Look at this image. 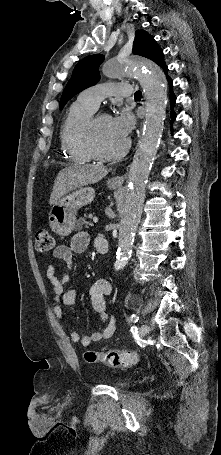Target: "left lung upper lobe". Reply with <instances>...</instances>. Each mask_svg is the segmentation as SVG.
Masks as SVG:
<instances>
[{"instance_id":"left-lung-upper-lobe-1","label":"left lung upper lobe","mask_w":221,"mask_h":455,"mask_svg":"<svg viewBox=\"0 0 221 455\" xmlns=\"http://www.w3.org/2000/svg\"><path fill=\"white\" fill-rule=\"evenodd\" d=\"M133 54L153 60L162 68L165 66L162 49L156 44L154 37L144 30H137L133 42ZM101 54L83 58L74 68L72 77L67 83L60 100V109L76 94L95 85L100 78L99 66L103 62Z\"/></svg>"}]
</instances>
